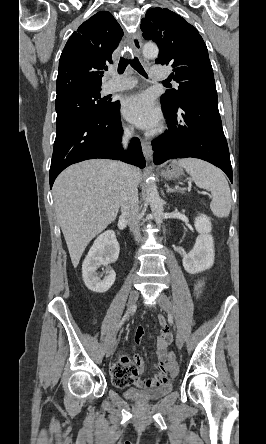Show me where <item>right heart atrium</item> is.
<instances>
[{
	"instance_id": "obj_1",
	"label": "right heart atrium",
	"mask_w": 266,
	"mask_h": 444,
	"mask_svg": "<svg viewBox=\"0 0 266 444\" xmlns=\"http://www.w3.org/2000/svg\"><path fill=\"white\" fill-rule=\"evenodd\" d=\"M124 130H125V132H129L130 131L128 127H125Z\"/></svg>"
}]
</instances>
